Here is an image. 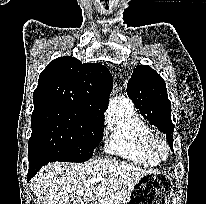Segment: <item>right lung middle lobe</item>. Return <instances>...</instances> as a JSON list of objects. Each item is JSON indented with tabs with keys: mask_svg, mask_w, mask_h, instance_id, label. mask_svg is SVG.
<instances>
[{
	"mask_svg": "<svg viewBox=\"0 0 206 204\" xmlns=\"http://www.w3.org/2000/svg\"><path fill=\"white\" fill-rule=\"evenodd\" d=\"M103 114L62 104H34L28 157L83 162L103 137Z\"/></svg>",
	"mask_w": 206,
	"mask_h": 204,
	"instance_id": "right-lung-middle-lobe-1",
	"label": "right lung middle lobe"
}]
</instances>
